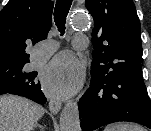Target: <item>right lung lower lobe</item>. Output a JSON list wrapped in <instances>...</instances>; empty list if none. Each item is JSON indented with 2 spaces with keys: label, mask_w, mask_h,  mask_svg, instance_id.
I'll use <instances>...</instances> for the list:
<instances>
[{
  "label": "right lung lower lobe",
  "mask_w": 151,
  "mask_h": 131,
  "mask_svg": "<svg viewBox=\"0 0 151 131\" xmlns=\"http://www.w3.org/2000/svg\"><path fill=\"white\" fill-rule=\"evenodd\" d=\"M35 76H30L26 79H23L17 84L5 85L4 82L0 81V95L4 93L15 94L29 98L36 103L41 105L46 103V98L41 91L39 83L34 81Z\"/></svg>",
  "instance_id": "right-lung-lower-lobe-1"
}]
</instances>
